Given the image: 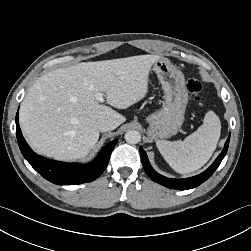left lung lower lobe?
I'll return each instance as SVG.
<instances>
[{
	"mask_svg": "<svg viewBox=\"0 0 251 251\" xmlns=\"http://www.w3.org/2000/svg\"><path fill=\"white\" fill-rule=\"evenodd\" d=\"M229 140H230V136L228 137L222 152L219 154V156L216 158V160L207 170H205L199 175H196L190 178H185V179H171V178H167L160 175L151 167L149 160L147 158V155L145 151L143 150V148L140 147L139 150H140L141 160H142V164L145 169V172L153 181L168 188L177 189V190H187V189H191V188H195L199 186L215 172V170L220 165L221 161L223 160V158L225 157L227 153Z\"/></svg>",
	"mask_w": 251,
	"mask_h": 251,
	"instance_id": "obj_1",
	"label": "left lung lower lobe"
}]
</instances>
